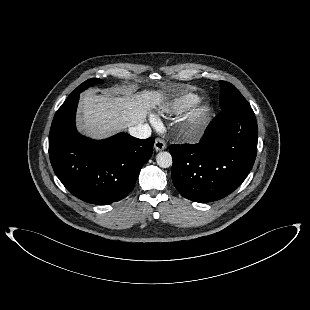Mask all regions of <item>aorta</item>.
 <instances>
[{
	"label": "aorta",
	"mask_w": 310,
	"mask_h": 310,
	"mask_svg": "<svg viewBox=\"0 0 310 310\" xmlns=\"http://www.w3.org/2000/svg\"><path fill=\"white\" fill-rule=\"evenodd\" d=\"M157 165L161 168H168L172 165V156L169 152L162 151L156 156Z\"/></svg>",
	"instance_id": "aorta-1"
}]
</instances>
